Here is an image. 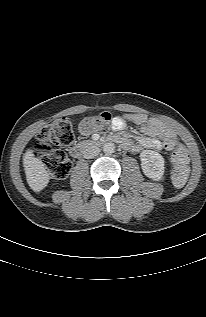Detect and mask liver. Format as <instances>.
Listing matches in <instances>:
<instances>
[{
    "label": "liver",
    "instance_id": "liver-1",
    "mask_svg": "<svg viewBox=\"0 0 206 317\" xmlns=\"http://www.w3.org/2000/svg\"><path fill=\"white\" fill-rule=\"evenodd\" d=\"M23 166L27 183L33 191L39 192L47 186L50 179L49 173L42 161L35 157L30 149L24 154Z\"/></svg>",
    "mask_w": 206,
    "mask_h": 317
}]
</instances>
